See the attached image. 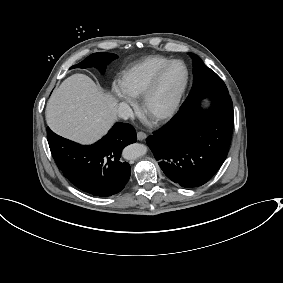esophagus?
Returning <instances> with one entry per match:
<instances>
[{"instance_id":"obj_1","label":"esophagus","mask_w":283,"mask_h":283,"mask_svg":"<svg viewBox=\"0 0 283 283\" xmlns=\"http://www.w3.org/2000/svg\"><path fill=\"white\" fill-rule=\"evenodd\" d=\"M145 138H146V134H145L144 132L139 131V132L137 133V139H138L139 141H142V140H144Z\"/></svg>"}]
</instances>
